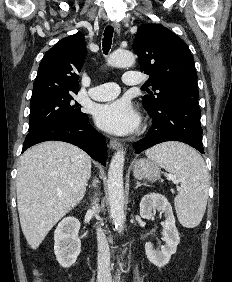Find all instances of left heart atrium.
<instances>
[{"label":"left heart atrium","mask_w":232,"mask_h":282,"mask_svg":"<svg viewBox=\"0 0 232 282\" xmlns=\"http://www.w3.org/2000/svg\"><path fill=\"white\" fill-rule=\"evenodd\" d=\"M95 120L101 129L114 134L129 133L139 123L137 113L124 99L99 105L95 110Z\"/></svg>","instance_id":"39dd6f15"}]
</instances>
